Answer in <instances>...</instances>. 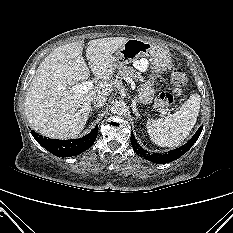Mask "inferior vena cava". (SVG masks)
I'll list each match as a JSON object with an SVG mask.
<instances>
[{
  "label": "inferior vena cava",
  "instance_id": "602c4592",
  "mask_svg": "<svg viewBox=\"0 0 233 233\" xmlns=\"http://www.w3.org/2000/svg\"><path fill=\"white\" fill-rule=\"evenodd\" d=\"M107 97L104 95H97L92 98V104L96 107H101L106 104Z\"/></svg>",
  "mask_w": 233,
  "mask_h": 233
}]
</instances>
